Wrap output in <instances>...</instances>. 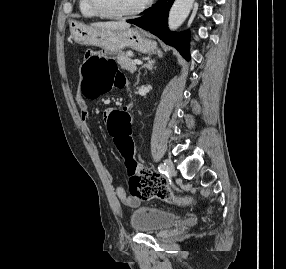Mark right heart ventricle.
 <instances>
[{"mask_svg": "<svg viewBox=\"0 0 286 269\" xmlns=\"http://www.w3.org/2000/svg\"><path fill=\"white\" fill-rule=\"evenodd\" d=\"M79 11L82 16L86 18H96L99 17L97 13L93 10L90 0H79Z\"/></svg>", "mask_w": 286, "mask_h": 269, "instance_id": "e07e8e85", "label": "right heart ventricle"}]
</instances>
